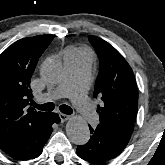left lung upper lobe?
Here are the masks:
<instances>
[{
	"label": "left lung upper lobe",
	"mask_w": 165,
	"mask_h": 165,
	"mask_svg": "<svg viewBox=\"0 0 165 165\" xmlns=\"http://www.w3.org/2000/svg\"><path fill=\"white\" fill-rule=\"evenodd\" d=\"M88 39L100 61L94 87V97L103 101L97 107L99 125L130 139L138 107L134 73L124 57L108 42L96 36Z\"/></svg>",
	"instance_id": "1"
}]
</instances>
